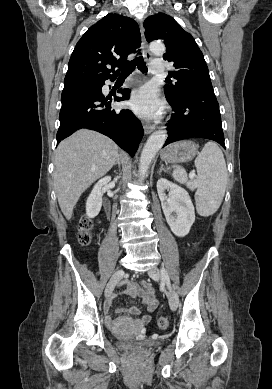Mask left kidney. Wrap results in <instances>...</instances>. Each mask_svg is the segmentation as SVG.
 <instances>
[{
  "label": "left kidney",
  "instance_id": "1",
  "mask_svg": "<svg viewBox=\"0 0 272 389\" xmlns=\"http://www.w3.org/2000/svg\"><path fill=\"white\" fill-rule=\"evenodd\" d=\"M166 190L169 191L168 197ZM157 191L171 231L178 237L186 236L195 221V210L188 192L164 178L157 181Z\"/></svg>",
  "mask_w": 272,
  "mask_h": 389
}]
</instances>
